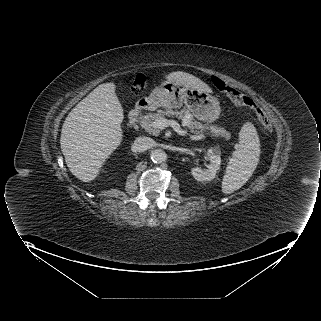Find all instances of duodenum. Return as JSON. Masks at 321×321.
Here are the masks:
<instances>
[{"instance_id": "duodenum-1", "label": "duodenum", "mask_w": 321, "mask_h": 321, "mask_svg": "<svg viewBox=\"0 0 321 321\" xmlns=\"http://www.w3.org/2000/svg\"><path fill=\"white\" fill-rule=\"evenodd\" d=\"M150 103L147 99H141L139 100L135 107L132 109V111L130 112V115H129V124L130 125H134L140 114L146 110L148 107H149Z\"/></svg>"}]
</instances>
